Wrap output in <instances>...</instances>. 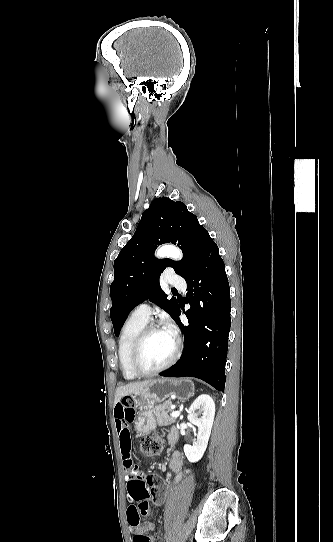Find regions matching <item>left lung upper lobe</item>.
Returning <instances> with one entry per match:
<instances>
[{
  "label": "left lung upper lobe",
  "instance_id": "5c2ea615",
  "mask_svg": "<svg viewBox=\"0 0 333 542\" xmlns=\"http://www.w3.org/2000/svg\"><path fill=\"white\" fill-rule=\"evenodd\" d=\"M210 239L208 231L183 202L167 197L152 201L142 214L133 237L114 261L110 316L116 336L131 310L147 299L176 319L179 303L174 297L168 299L160 289V274L167 267H172L185 278L197 267ZM169 242L182 249L181 261L154 257L158 245Z\"/></svg>",
  "mask_w": 333,
  "mask_h": 542
}]
</instances>
